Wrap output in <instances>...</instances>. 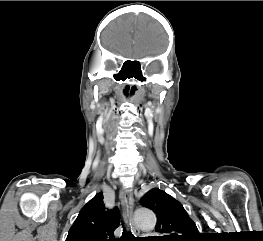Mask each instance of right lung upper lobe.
<instances>
[{
	"label": "right lung upper lobe",
	"mask_w": 263,
	"mask_h": 241,
	"mask_svg": "<svg viewBox=\"0 0 263 241\" xmlns=\"http://www.w3.org/2000/svg\"><path fill=\"white\" fill-rule=\"evenodd\" d=\"M118 226V209L108 210L100 192L80 210L66 241H117L114 230Z\"/></svg>",
	"instance_id": "1"
}]
</instances>
